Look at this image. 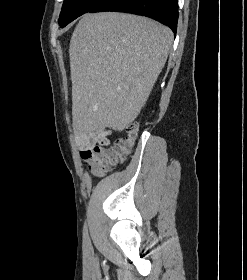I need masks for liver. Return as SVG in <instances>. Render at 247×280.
<instances>
[{
  "label": "liver",
  "instance_id": "6515ba94",
  "mask_svg": "<svg viewBox=\"0 0 247 280\" xmlns=\"http://www.w3.org/2000/svg\"><path fill=\"white\" fill-rule=\"evenodd\" d=\"M173 42L149 18L85 14L70 40L73 123L81 132L122 131L145 105Z\"/></svg>",
  "mask_w": 247,
  "mask_h": 280
}]
</instances>
